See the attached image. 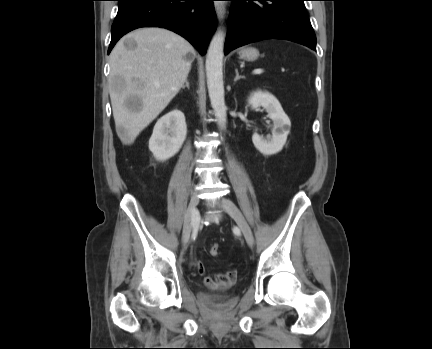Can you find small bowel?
<instances>
[{
    "mask_svg": "<svg viewBox=\"0 0 432 349\" xmlns=\"http://www.w3.org/2000/svg\"><path fill=\"white\" fill-rule=\"evenodd\" d=\"M199 273L203 274L204 269L201 265L198 266ZM237 277V272L234 269L223 273L207 275L204 278V284L211 289H220L232 285Z\"/></svg>",
    "mask_w": 432,
    "mask_h": 349,
    "instance_id": "obj_1",
    "label": "small bowel"
}]
</instances>
